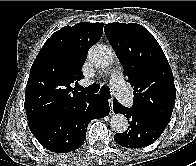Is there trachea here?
<instances>
[{
	"label": "trachea",
	"mask_w": 196,
	"mask_h": 166,
	"mask_svg": "<svg viewBox=\"0 0 196 166\" xmlns=\"http://www.w3.org/2000/svg\"><path fill=\"white\" fill-rule=\"evenodd\" d=\"M77 90L78 91H83L85 93H88V94H94V93H97L99 90V92L105 96L106 98H110L111 95H110V89L106 86H103L100 88V86L98 84H92L86 88H82L81 86H78L77 87Z\"/></svg>",
	"instance_id": "1"
}]
</instances>
